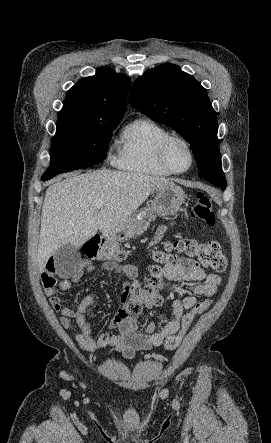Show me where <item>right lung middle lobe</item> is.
<instances>
[{"instance_id":"obj_1","label":"right lung middle lobe","mask_w":271,"mask_h":443,"mask_svg":"<svg viewBox=\"0 0 271 443\" xmlns=\"http://www.w3.org/2000/svg\"><path fill=\"white\" fill-rule=\"evenodd\" d=\"M121 116L88 118L68 110L58 115L50 165L44 175L68 172L102 162Z\"/></svg>"}]
</instances>
